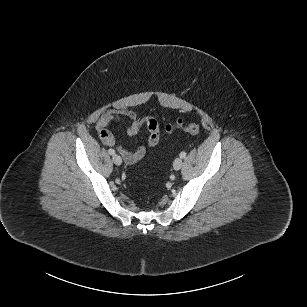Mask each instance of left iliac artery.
Wrapping results in <instances>:
<instances>
[{
  "mask_svg": "<svg viewBox=\"0 0 307 307\" xmlns=\"http://www.w3.org/2000/svg\"><path fill=\"white\" fill-rule=\"evenodd\" d=\"M185 157H186V152H184V151L181 152V153H180V158H185Z\"/></svg>",
  "mask_w": 307,
  "mask_h": 307,
  "instance_id": "44dca946",
  "label": "left iliac artery"
}]
</instances>
